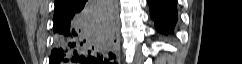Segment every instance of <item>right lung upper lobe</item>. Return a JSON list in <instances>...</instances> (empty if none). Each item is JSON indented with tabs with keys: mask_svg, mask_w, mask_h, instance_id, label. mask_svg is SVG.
I'll return each mask as SVG.
<instances>
[{
	"mask_svg": "<svg viewBox=\"0 0 242 64\" xmlns=\"http://www.w3.org/2000/svg\"><path fill=\"white\" fill-rule=\"evenodd\" d=\"M72 3V0H55V11H59Z\"/></svg>",
	"mask_w": 242,
	"mask_h": 64,
	"instance_id": "right-lung-upper-lobe-1",
	"label": "right lung upper lobe"
}]
</instances>
